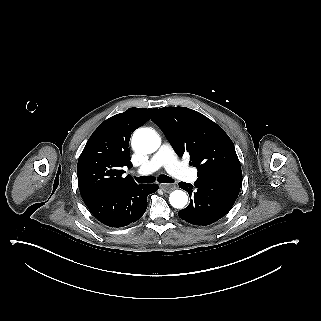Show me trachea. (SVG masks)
<instances>
[{
	"mask_svg": "<svg viewBox=\"0 0 321 321\" xmlns=\"http://www.w3.org/2000/svg\"><path fill=\"white\" fill-rule=\"evenodd\" d=\"M135 179L140 184H150L156 180V178L153 176H140ZM157 180L160 183H173L174 182V180L171 177L166 176V175H159Z\"/></svg>",
	"mask_w": 321,
	"mask_h": 321,
	"instance_id": "trachea-1",
	"label": "trachea"
}]
</instances>
